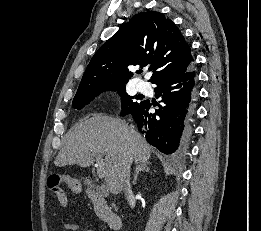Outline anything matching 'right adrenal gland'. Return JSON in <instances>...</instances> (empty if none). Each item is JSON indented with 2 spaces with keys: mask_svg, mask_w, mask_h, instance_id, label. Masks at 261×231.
I'll list each match as a JSON object with an SVG mask.
<instances>
[{
  "mask_svg": "<svg viewBox=\"0 0 261 231\" xmlns=\"http://www.w3.org/2000/svg\"><path fill=\"white\" fill-rule=\"evenodd\" d=\"M149 165H150L149 162L140 163V164L136 165L133 184L136 183L139 172H149L150 171Z\"/></svg>",
  "mask_w": 261,
  "mask_h": 231,
  "instance_id": "2a0ac1e0",
  "label": "right adrenal gland"
}]
</instances>
